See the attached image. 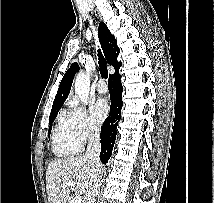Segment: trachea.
<instances>
[{
    "label": "trachea",
    "mask_w": 214,
    "mask_h": 203,
    "mask_svg": "<svg viewBox=\"0 0 214 203\" xmlns=\"http://www.w3.org/2000/svg\"><path fill=\"white\" fill-rule=\"evenodd\" d=\"M98 60H99V70L100 74L103 78L107 79L108 78V70H107V65L105 63V59L101 53V50H98Z\"/></svg>",
    "instance_id": "3493384b"
}]
</instances>
